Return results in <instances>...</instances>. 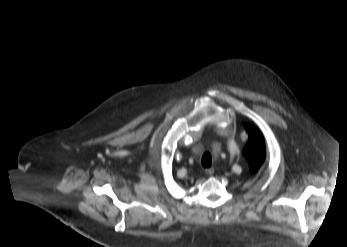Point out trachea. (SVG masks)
<instances>
[{"mask_svg": "<svg viewBox=\"0 0 347 247\" xmlns=\"http://www.w3.org/2000/svg\"><path fill=\"white\" fill-rule=\"evenodd\" d=\"M212 164V159L209 153H204L202 156V165L204 167H210Z\"/></svg>", "mask_w": 347, "mask_h": 247, "instance_id": "1", "label": "trachea"}]
</instances>
